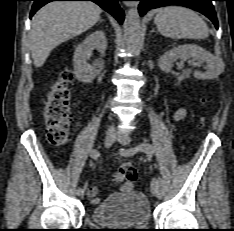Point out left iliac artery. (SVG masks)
I'll return each mask as SVG.
<instances>
[{
  "instance_id": "44dca946",
  "label": "left iliac artery",
  "mask_w": 234,
  "mask_h": 231,
  "mask_svg": "<svg viewBox=\"0 0 234 231\" xmlns=\"http://www.w3.org/2000/svg\"><path fill=\"white\" fill-rule=\"evenodd\" d=\"M137 151H142V152L146 153L147 155H153L154 152H155V149L149 143H140L135 148L120 149V153L123 156H131V155H133ZM158 184H159L158 197L161 198L164 195V191H163L162 180L160 178L158 180Z\"/></svg>"
}]
</instances>
